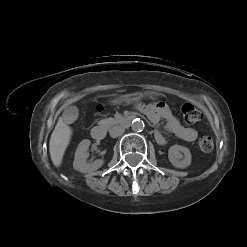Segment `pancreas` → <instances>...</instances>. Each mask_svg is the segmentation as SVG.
<instances>
[{"instance_id": "1", "label": "pancreas", "mask_w": 247, "mask_h": 247, "mask_svg": "<svg viewBox=\"0 0 247 247\" xmlns=\"http://www.w3.org/2000/svg\"><path fill=\"white\" fill-rule=\"evenodd\" d=\"M115 123H117V119L115 118H105L98 122V124L103 127H110Z\"/></svg>"}]
</instances>
